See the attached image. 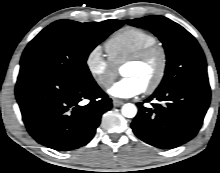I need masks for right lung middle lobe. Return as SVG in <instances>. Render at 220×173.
Returning <instances> with one entry per match:
<instances>
[{
	"label": "right lung middle lobe",
	"instance_id": "right-lung-middle-lobe-1",
	"mask_svg": "<svg viewBox=\"0 0 220 173\" xmlns=\"http://www.w3.org/2000/svg\"><path fill=\"white\" fill-rule=\"evenodd\" d=\"M124 24L120 20L80 23L58 20L43 29L26 47L20 73H52L73 82L92 81L86 60L89 53Z\"/></svg>",
	"mask_w": 220,
	"mask_h": 173
}]
</instances>
